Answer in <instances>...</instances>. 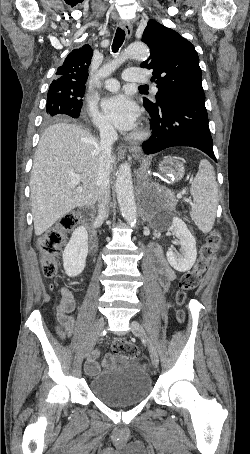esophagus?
Returning <instances> with one entry per match:
<instances>
[{
  "mask_svg": "<svg viewBox=\"0 0 250 454\" xmlns=\"http://www.w3.org/2000/svg\"><path fill=\"white\" fill-rule=\"evenodd\" d=\"M119 26H120V28H122L125 31L127 38H130L132 35V31H133L132 24L130 22L121 21L119 23ZM128 149L133 158H135V159L141 158L142 148L140 147V145L133 144V145H130L128 147ZM120 155H123V154L120 153Z\"/></svg>",
  "mask_w": 250,
  "mask_h": 454,
  "instance_id": "1",
  "label": "esophagus"
}]
</instances>
